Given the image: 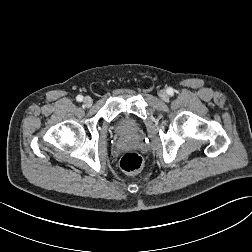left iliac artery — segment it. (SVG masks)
<instances>
[{
  "label": "left iliac artery",
  "instance_id": "44dca946",
  "mask_svg": "<svg viewBox=\"0 0 252 252\" xmlns=\"http://www.w3.org/2000/svg\"><path fill=\"white\" fill-rule=\"evenodd\" d=\"M167 92H168L169 95H172L173 89H172V88H168V89H167Z\"/></svg>",
  "mask_w": 252,
  "mask_h": 252
}]
</instances>
